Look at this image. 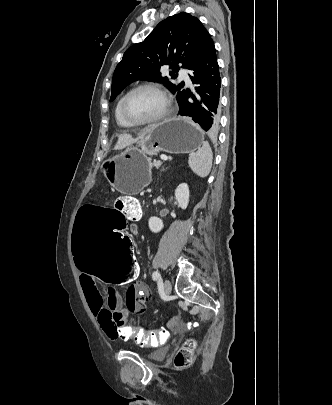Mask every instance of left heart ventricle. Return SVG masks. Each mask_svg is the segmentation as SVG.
<instances>
[{
  "mask_svg": "<svg viewBox=\"0 0 332 405\" xmlns=\"http://www.w3.org/2000/svg\"><path fill=\"white\" fill-rule=\"evenodd\" d=\"M165 103L162 96L152 89L134 92L126 101L125 109L133 120H147L159 115Z\"/></svg>",
  "mask_w": 332,
  "mask_h": 405,
  "instance_id": "b2bd125f",
  "label": "left heart ventricle"
}]
</instances>
